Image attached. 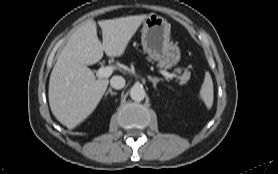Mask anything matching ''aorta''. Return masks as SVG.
<instances>
[{"label": "aorta", "instance_id": "1", "mask_svg": "<svg viewBox=\"0 0 278 174\" xmlns=\"http://www.w3.org/2000/svg\"><path fill=\"white\" fill-rule=\"evenodd\" d=\"M146 92L142 85H134L130 89V97L134 101H142L145 98Z\"/></svg>", "mask_w": 278, "mask_h": 174}]
</instances>
